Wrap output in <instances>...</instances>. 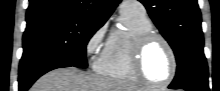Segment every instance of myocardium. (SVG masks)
Here are the masks:
<instances>
[{"mask_svg":"<svg viewBox=\"0 0 220 91\" xmlns=\"http://www.w3.org/2000/svg\"><path fill=\"white\" fill-rule=\"evenodd\" d=\"M159 41L164 44V46L167 48L170 58H171V72L168 76V78L163 82H154L151 81L145 74L143 69V57L144 53L147 49V47L155 42ZM131 61H132V68L139 79V81L149 87H155V88H161L168 86L175 78L177 73V57L176 53L174 51V48L172 47L171 43L162 35L154 32H149L146 34H143L139 36L132 47V53H131Z\"/></svg>","mask_w":220,"mask_h":91,"instance_id":"f54148a6","label":"myocardium"}]
</instances>
